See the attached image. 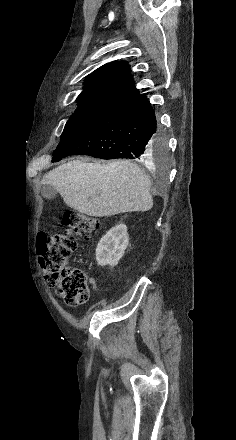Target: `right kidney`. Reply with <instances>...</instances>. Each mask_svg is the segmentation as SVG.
<instances>
[{"instance_id":"1","label":"right kidney","mask_w":236,"mask_h":440,"mask_svg":"<svg viewBox=\"0 0 236 440\" xmlns=\"http://www.w3.org/2000/svg\"><path fill=\"white\" fill-rule=\"evenodd\" d=\"M128 244L129 236L126 225L118 224L112 227L97 245L96 260L98 265L116 266L124 255Z\"/></svg>"}]
</instances>
